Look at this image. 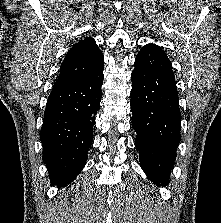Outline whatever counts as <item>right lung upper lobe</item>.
Listing matches in <instances>:
<instances>
[{"mask_svg": "<svg viewBox=\"0 0 221 223\" xmlns=\"http://www.w3.org/2000/svg\"><path fill=\"white\" fill-rule=\"evenodd\" d=\"M104 56L89 37L80 40L67 52L53 89L74 84L97 71L104 64Z\"/></svg>", "mask_w": 221, "mask_h": 223, "instance_id": "1", "label": "right lung upper lobe"}]
</instances>
